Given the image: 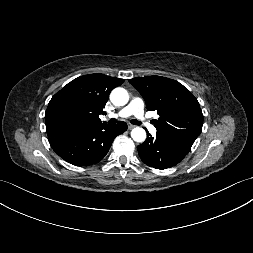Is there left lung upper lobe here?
<instances>
[{"label": "left lung upper lobe", "instance_id": "obj_1", "mask_svg": "<svg viewBox=\"0 0 253 253\" xmlns=\"http://www.w3.org/2000/svg\"><path fill=\"white\" fill-rule=\"evenodd\" d=\"M129 82L143 96L147 109L160 115L155 120L157 132L195 141L203 125L198 100L179 82L161 77L146 76Z\"/></svg>", "mask_w": 253, "mask_h": 253}]
</instances>
